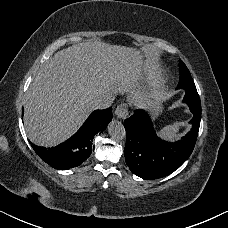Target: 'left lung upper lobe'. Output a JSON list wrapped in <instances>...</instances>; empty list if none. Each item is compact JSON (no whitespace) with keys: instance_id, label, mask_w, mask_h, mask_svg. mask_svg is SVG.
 I'll return each instance as SVG.
<instances>
[{"instance_id":"obj_1","label":"left lung upper lobe","mask_w":228,"mask_h":228,"mask_svg":"<svg viewBox=\"0 0 228 228\" xmlns=\"http://www.w3.org/2000/svg\"><path fill=\"white\" fill-rule=\"evenodd\" d=\"M179 69H180V81L178 83L177 89L181 88L185 90V97L183 101L185 102V98L187 95V91H195L197 93L195 84L193 82V79L190 75L189 70L187 69L186 65L180 60L179 61Z\"/></svg>"}]
</instances>
